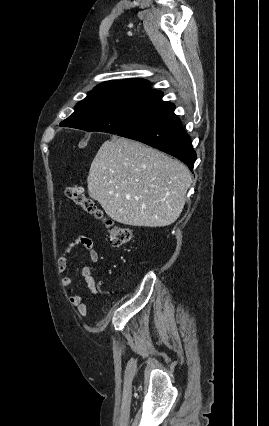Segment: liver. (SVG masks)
Listing matches in <instances>:
<instances>
[{"label": "liver", "mask_w": 269, "mask_h": 426, "mask_svg": "<svg viewBox=\"0 0 269 426\" xmlns=\"http://www.w3.org/2000/svg\"><path fill=\"white\" fill-rule=\"evenodd\" d=\"M89 196L113 220L164 227L181 214L191 173L180 161L124 137L105 141L87 178Z\"/></svg>", "instance_id": "1"}]
</instances>
